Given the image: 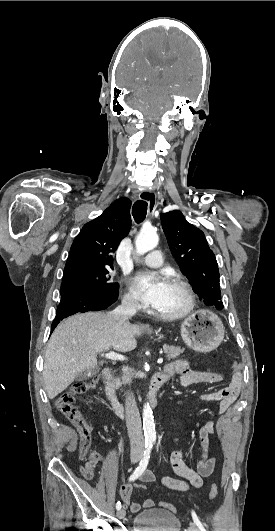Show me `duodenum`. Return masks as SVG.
<instances>
[{"label":"duodenum","mask_w":275,"mask_h":531,"mask_svg":"<svg viewBox=\"0 0 275 531\" xmlns=\"http://www.w3.org/2000/svg\"><path fill=\"white\" fill-rule=\"evenodd\" d=\"M113 374L114 369L112 367H104L100 372L99 379L103 386L111 410L117 415H124L125 407L117 398L113 383ZM167 379L168 374L166 372H157L152 377L150 382V392L146 398V403L149 406H156L158 404L160 390Z\"/></svg>","instance_id":"obj_1"}]
</instances>
